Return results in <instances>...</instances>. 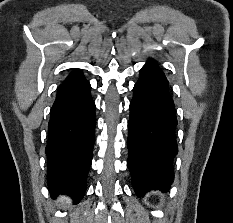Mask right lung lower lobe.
Listing matches in <instances>:
<instances>
[{
    "mask_svg": "<svg viewBox=\"0 0 233 223\" xmlns=\"http://www.w3.org/2000/svg\"><path fill=\"white\" fill-rule=\"evenodd\" d=\"M91 86L79 69L62 82L51 109L48 144V186L53 197L69 194L79 202L86 191L95 141V103Z\"/></svg>",
    "mask_w": 233,
    "mask_h": 223,
    "instance_id": "obj_1",
    "label": "right lung lower lobe"
}]
</instances>
